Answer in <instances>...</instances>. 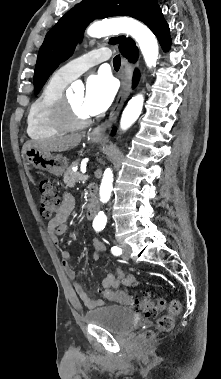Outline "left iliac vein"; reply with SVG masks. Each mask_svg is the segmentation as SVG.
<instances>
[{"label":"left iliac vein","mask_w":221,"mask_h":379,"mask_svg":"<svg viewBox=\"0 0 221 379\" xmlns=\"http://www.w3.org/2000/svg\"><path fill=\"white\" fill-rule=\"evenodd\" d=\"M122 249H123L122 258L126 261L129 260L131 248L127 244H122Z\"/></svg>","instance_id":"4c4485c4"}]
</instances>
